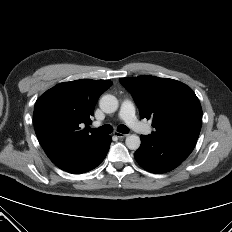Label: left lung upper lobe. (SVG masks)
Here are the masks:
<instances>
[{
    "mask_svg": "<svg viewBox=\"0 0 232 232\" xmlns=\"http://www.w3.org/2000/svg\"><path fill=\"white\" fill-rule=\"evenodd\" d=\"M132 94L142 118L152 119L159 138L189 137L198 139L202 108L193 90L177 80L142 75L121 78Z\"/></svg>",
    "mask_w": 232,
    "mask_h": 232,
    "instance_id": "obj_1",
    "label": "left lung upper lobe"
}]
</instances>
